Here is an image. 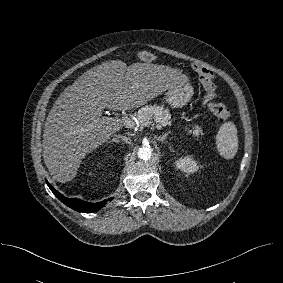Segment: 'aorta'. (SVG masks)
<instances>
[{
    "instance_id": "762f6f07",
    "label": "aorta",
    "mask_w": 283,
    "mask_h": 283,
    "mask_svg": "<svg viewBox=\"0 0 283 283\" xmlns=\"http://www.w3.org/2000/svg\"><path fill=\"white\" fill-rule=\"evenodd\" d=\"M152 155V149L149 146L140 147L138 150V157L142 160H149Z\"/></svg>"
}]
</instances>
